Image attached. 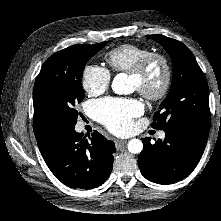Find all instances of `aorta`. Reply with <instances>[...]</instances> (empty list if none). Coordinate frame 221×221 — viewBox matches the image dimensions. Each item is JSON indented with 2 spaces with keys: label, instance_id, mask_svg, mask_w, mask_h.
Instances as JSON below:
<instances>
[{
  "label": "aorta",
  "instance_id": "762f6f07",
  "mask_svg": "<svg viewBox=\"0 0 221 221\" xmlns=\"http://www.w3.org/2000/svg\"><path fill=\"white\" fill-rule=\"evenodd\" d=\"M111 87L113 92L118 95L132 92V88L128 85L127 75L123 73L114 77ZM127 148L130 153L138 154L143 150V143L141 140L134 138L128 142Z\"/></svg>",
  "mask_w": 221,
  "mask_h": 221
}]
</instances>
